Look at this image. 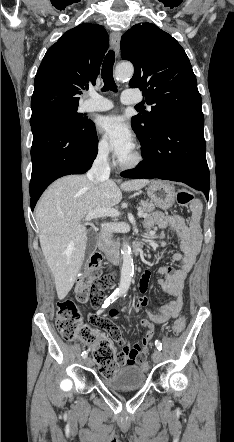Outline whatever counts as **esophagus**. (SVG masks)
<instances>
[{"instance_id":"obj_1","label":"esophagus","mask_w":234,"mask_h":442,"mask_svg":"<svg viewBox=\"0 0 234 442\" xmlns=\"http://www.w3.org/2000/svg\"><path fill=\"white\" fill-rule=\"evenodd\" d=\"M120 39H121V33L120 32H112L110 35L111 45L115 51L116 56L119 55L120 50Z\"/></svg>"}]
</instances>
